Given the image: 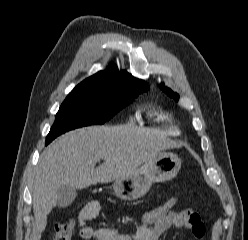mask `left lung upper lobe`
Wrapping results in <instances>:
<instances>
[{"instance_id": "1", "label": "left lung upper lobe", "mask_w": 248, "mask_h": 240, "mask_svg": "<svg viewBox=\"0 0 248 240\" xmlns=\"http://www.w3.org/2000/svg\"><path fill=\"white\" fill-rule=\"evenodd\" d=\"M160 87L164 92H166L170 97L174 98L176 101L179 99V95L177 93H174L172 90L169 88L165 87L164 84H160Z\"/></svg>"}]
</instances>
